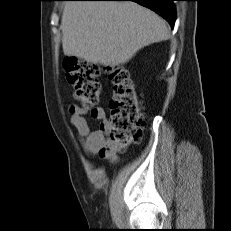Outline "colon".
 <instances>
[{"instance_id": "obj_1", "label": "colon", "mask_w": 231, "mask_h": 231, "mask_svg": "<svg viewBox=\"0 0 231 231\" xmlns=\"http://www.w3.org/2000/svg\"><path fill=\"white\" fill-rule=\"evenodd\" d=\"M63 66L73 84L75 98L84 107L97 104L101 94L98 66L75 57H66ZM109 73L114 85L110 101V138L114 146L124 149L142 136L145 125L142 104L127 69L115 67Z\"/></svg>"}]
</instances>
